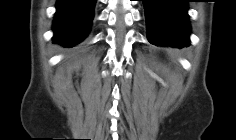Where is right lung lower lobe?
<instances>
[{"mask_svg":"<svg viewBox=\"0 0 236 140\" xmlns=\"http://www.w3.org/2000/svg\"><path fill=\"white\" fill-rule=\"evenodd\" d=\"M96 0H57L53 42L71 47L82 41L91 28Z\"/></svg>","mask_w":236,"mask_h":140,"instance_id":"right-lung-lower-lobe-1","label":"right lung lower lobe"}]
</instances>
